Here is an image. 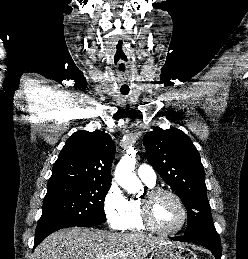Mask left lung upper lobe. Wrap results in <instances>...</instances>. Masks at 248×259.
Instances as JSON below:
<instances>
[{
    "label": "left lung upper lobe",
    "mask_w": 248,
    "mask_h": 259,
    "mask_svg": "<svg viewBox=\"0 0 248 259\" xmlns=\"http://www.w3.org/2000/svg\"><path fill=\"white\" fill-rule=\"evenodd\" d=\"M149 163L171 186L187 209L185 235L215 229L206 196L200 155L181 130L156 128L143 139Z\"/></svg>",
    "instance_id": "5c2ea615"
}]
</instances>
